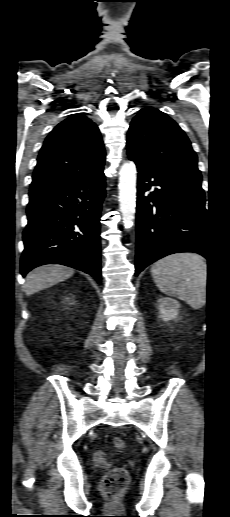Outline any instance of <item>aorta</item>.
<instances>
[{"label": "aorta", "mask_w": 230, "mask_h": 517, "mask_svg": "<svg viewBox=\"0 0 230 517\" xmlns=\"http://www.w3.org/2000/svg\"><path fill=\"white\" fill-rule=\"evenodd\" d=\"M136 166L133 162L124 163L119 172V203L124 227L133 226L136 211Z\"/></svg>", "instance_id": "1"}]
</instances>
